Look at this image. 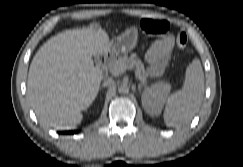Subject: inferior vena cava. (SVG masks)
Masks as SVG:
<instances>
[{"label": "inferior vena cava", "instance_id": "602c4592", "mask_svg": "<svg viewBox=\"0 0 243 167\" xmlns=\"http://www.w3.org/2000/svg\"><path fill=\"white\" fill-rule=\"evenodd\" d=\"M112 83V81L111 80H106L105 82H104V86H107V85H110Z\"/></svg>", "mask_w": 243, "mask_h": 167}]
</instances>
